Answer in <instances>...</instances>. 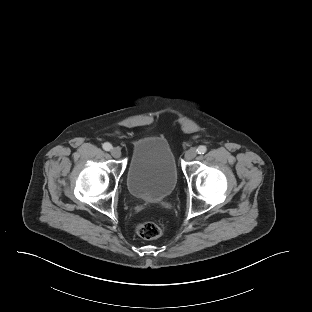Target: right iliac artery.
Wrapping results in <instances>:
<instances>
[{"mask_svg":"<svg viewBox=\"0 0 312 312\" xmlns=\"http://www.w3.org/2000/svg\"><path fill=\"white\" fill-rule=\"evenodd\" d=\"M103 149L106 151H109L110 149H112V145L108 142L103 144Z\"/></svg>","mask_w":312,"mask_h":312,"instance_id":"obj_1","label":"right iliac artery"}]
</instances>
